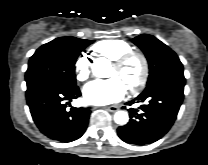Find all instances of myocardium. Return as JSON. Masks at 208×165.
Segmentation results:
<instances>
[{
  "label": "myocardium",
  "mask_w": 208,
  "mask_h": 165,
  "mask_svg": "<svg viewBox=\"0 0 208 165\" xmlns=\"http://www.w3.org/2000/svg\"><path fill=\"white\" fill-rule=\"evenodd\" d=\"M138 59L141 63V76L139 78V80L132 86H130L129 88H127V90L130 93H138L140 92L146 85L147 81H148V77H149V62L148 59L146 57V55L142 52L139 51H129L126 52L124 54H122L121 56H119L118 58H116L115 60H113L112 65L118 69L123 68L131 59Z\"/></svg>",
  "instance_id": "myocardium-1"
}]
</instances>
